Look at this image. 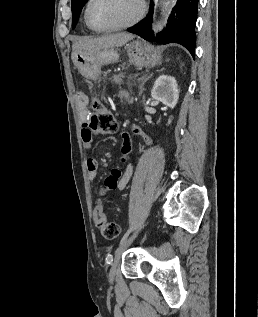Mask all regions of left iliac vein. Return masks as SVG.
<instances>
[{"mask_svg": "<svg viewBox=\"0 0 258 317\" xmlns=\"http://www.w3.org/2000/svg\"><path fill=\"white\" fill-rule=\"evenodd\" d=\"M133 236L135 235L134 233L132 234ZM133 237L131 236L130 238H126V240H124L120 245H119V247H118V249H117V251H116V256H115V266H114V271H111L110 272V276L112 277V276H114L115 275V269H116V267H119L120 266V260L122 259V252L123 251H125L127 248H129V246H131V243H132V241H131V239H132ZM135 239L137 238L136 236L134 237Z\"/></svg>", "mask_w": 258, "mask_h": 317, "instance_id": "1", "label": "left iliac vein"}]
</instances>
